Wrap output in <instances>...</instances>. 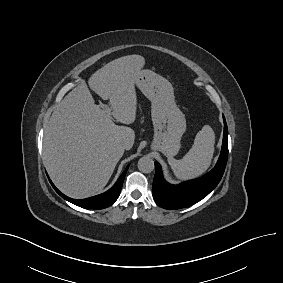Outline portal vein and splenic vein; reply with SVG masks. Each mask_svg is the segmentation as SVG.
<instances>
[{
  "label": "portal vein and splenic vein",
  "mask_w": 283,
  "mask_h": 283,
  "mask_svg": "<svg viewBox=\"0 0 283 283\" xmlns=\"http://www.w3.org/2000/svg\"><path fill=\"white\" fill-rule=\"evenodd\" d=\"M103 110L106 114H108V115L111 114V109L109 108L108 105H103Z\"/></svg>",
  "instance_id": "obj_1"
}]
</instances>
